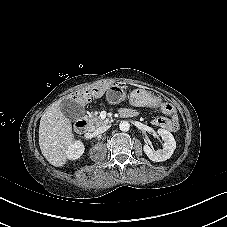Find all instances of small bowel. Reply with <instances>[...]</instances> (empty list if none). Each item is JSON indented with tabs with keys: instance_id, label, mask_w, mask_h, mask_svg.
<instances>
[{
	"instance_id": "1",
	"label": "small bowel",
	"mask_w": 227,
	"mask_h": 227,
	"mask_svg": "<svg viewBox=\"0 0 227 227\" xmlns=\"http://www.w3.org/2000/svg\"><path fill=\"white\" fill-rule=\"evenodd\" d=\"M161 110L171 116V119L166 117H157L153 120V124L157 127L175 131L178 129V118L175 114L173 107L170 104H163ZM121 114L124 117H130L134 114V111L131 109H122Z\"/></svg>"
}]
</instances>
